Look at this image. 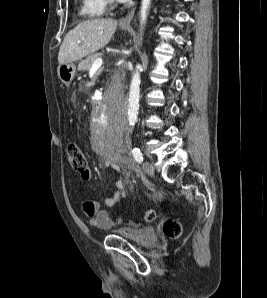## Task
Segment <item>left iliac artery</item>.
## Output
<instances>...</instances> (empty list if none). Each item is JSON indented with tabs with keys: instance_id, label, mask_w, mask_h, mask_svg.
Listing matches in <instances>:
<instances>
[{
	"instance_id": "obj_1",
	"label": "left iliac artery",
	"mask_w": 267,
	"mask_h": 298,
	"mask_svg": "<svg viewBox=\"0 0 267 298\" xmlns=\"http://www.w3.org/2000/svg\"><path fill=\"white\" fill-rule=\"evenodd\" d=\"M132 153H133V157L136 160V162L141 163L143 161V159H144L143 154L139 148H137V147L133 148Z\"/></svg>"
}]
</instances>
